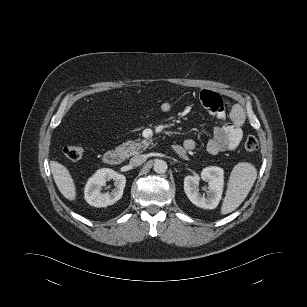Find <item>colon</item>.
Returning <instances> with one entry per match:
<instances>
[{
  "mask_svg": "<svg viewBox=\"0 0 307 307\" xmlns=\"http://www.w3.org/2000/svg\"><path fill=\"white\" fill-rule=\"evenodd\" d=\"M244 147L248 152L256 151L259 147L258 139L253 135L248 136L244 142ZM63 153L68 160L76 162L82 158L83 149L79 146H66Z\"/></svg>",
  "mask_w": 307,
  "mask_h": 307,
  "instance_id": "obj_1",
  "label": "colon"
}]
</instances>
